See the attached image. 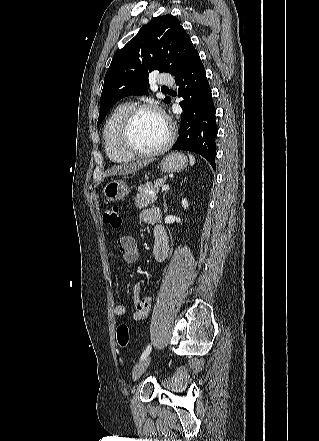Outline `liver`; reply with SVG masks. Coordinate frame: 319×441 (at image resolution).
I'll return each instance as SVG.
<instances>
[{
    "mask_svg": "<svg viewBox=\"0 0 319 441\" xmlns=\"http://www.w3.org/2000/svg\"><path fill=\"white\" fill-rule=\"evenodd\" d=\"M150 160H143V161H137L133 163H123L117 166H113L112 168L108 169L106 171V175L114 176V175H124V174H131L139 169L146 166Z\"/></svg>",
    "mask_w": 319,
    "mask_h": 441,
    "instance_id": "liver-1",
    "label": "liver"
}]
</instances>
